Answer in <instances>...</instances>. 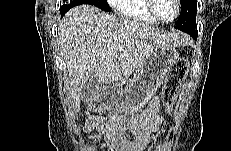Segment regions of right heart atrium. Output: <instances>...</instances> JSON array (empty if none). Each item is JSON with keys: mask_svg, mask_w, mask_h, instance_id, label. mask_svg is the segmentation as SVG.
<instances>
[{"mask_svg": "<svg viewBox=\"0 0 231 151\" xmlns=\"http://www.w3.org/2000/svg\"><path fill=\"white\" fill-rule=\"evenodd\" d=\"M119 1H120V0H111V1H109V2L115 6V4L118 3Z\"/></svg>", "mask_w": 231, "mask_h": 151, "instance_id": "d8ad5b80", "label": "right heart atrium"}]
</instances>
